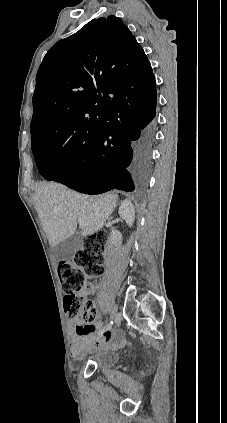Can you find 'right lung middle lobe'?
Returning <instances> with one entry per match:
<instances>
[{"mask_svg":"<svg viewBox=\"0 0 227 423\" xmlns=\"http://www.w3.org/2000/svg\"><path fill=\"white\" fill-rule=\"evenodd\" d=\"M94 146L95 139L74 142L61 136H48L33 142L32 152L42 177L54 181L70 174Z\"/></svg>","mask_w":227,"mask_h":423,"instance_id":"obj_1","label":"right lung middle lobe"}]
</instances>
